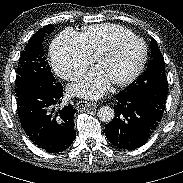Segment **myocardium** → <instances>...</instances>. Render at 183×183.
Masks as SVG:
<instances>
[{"label": "myocardium", "instance_id": "1", "mask_svg": "<svg viewBox=\"0 0 183 183\" xmlns=\"http://www.w3.org/2000/svg\"><path fill=\"white\" fill-rule=\"evenodd\" d=\"M130 40H136L139 41L142 46H143V53L141 56V59L138 63V65L136 66V68L133 70V72L128 75L127 77L115 81L113 82V86L116 88H120V87H124L127 85H130L131 83H133L141 74V72L143 71L146 61H147V57H148V47L146 42L139 36L136 35H130V36H125V37H121L117 40H115L112 44H110L107 48H105L104 50H102L96 57H95V64L97 65L101 60L111 56L112 54H114L116 52V50L125 42L130 41Z\"/></svg>", "mask_w": 183, "mask_h": 183}]
</instances>
